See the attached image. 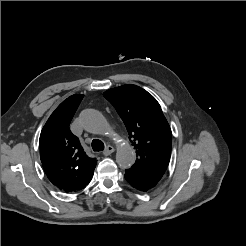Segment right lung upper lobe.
I'll use <instances>...</instances> for the list:
<instances>
[{
	"label": "right lung upper lobe",
	"instance_id": "1",
	"mask_svg": "<svg viewBox=\"0 0 246 246\" xmlns=\"http://www.w3.org/2000/svg\"><path fill=\"white\" fill-rule=\"evenodd\" d=\"M82 98V94H75L64 100L47 120L39 140L40 158L48 179L66 193L85 188L96 166V159L86 155L78 137L69 129Z\"/></svg>",
	"mask_w": 246,
	"mask_h": 246
}]
</instances>
